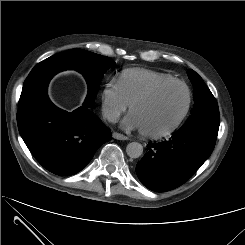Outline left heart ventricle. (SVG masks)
I'll list each match as a JSON object with an SVG mask.
<instances>
[{"mask_svg":"<svg viewBox=\"0 0 245 245\" xmlns=\"http://www.w3.org/2000/svg\"><path fill=\"white\" fill-rule=\"evenodd\" d=\"M187 93L180 85H171L160 90L153 98L136 105L132 114L140 129L156 133L170 128L185 109Z\"/></svg>","mask_w":245,"mask_h":245,"instance_id":"obj_1","label":"left heart ventricle"}]
</instances>
